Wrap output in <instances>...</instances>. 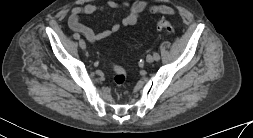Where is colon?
Returning a JSON list of instances; mask_svg holds the SVG:
<instances>
[{"instance_id":"1","label":"colon","mask_w":253,"mask_h":138,"mask_svg":"<svg viewBox=\"0 0 253 138\" xmlns=\"http://www.w3.org/2000/svg\"><path fill=\"white\" fill-rule=\"evenodd\" d=\"M156 26L159 30L167 32V33H172L174 31V28L171 22L165 18H158L156 20ZM111 67L114 73L113 80L115 84L118 87H123L127 81V74L125 70L121 66L116 65V64H112Z\"/></svg>"}]
</instances>
